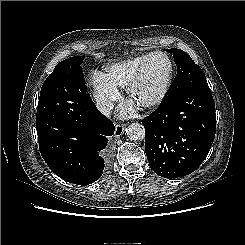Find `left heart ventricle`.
Here are the masks:
<instances>
[{"label": "left heart ventricle", "mask_w": 245, "mask_h": 245, "mask_svg": "<svg viewBox=\"0 0 245 245\" xmlns=\"http://www.w3.org/2000/svg\"><path fill=\"white\" fill-rule=\"evenodd\" d=\"M168 71V62L163 57L150 59L144 78L134 94V104L152 100L161 90Z\"/></svg>", "instance_id": "left-heart-ventricle-1"}]
</instances>
